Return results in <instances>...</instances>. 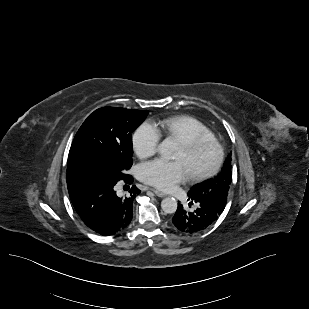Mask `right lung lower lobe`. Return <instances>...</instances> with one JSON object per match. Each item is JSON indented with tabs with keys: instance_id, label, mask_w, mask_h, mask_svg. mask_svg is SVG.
I'll return each instance as SVG.
<instances>
[{
	"instance_id": "1",
	"label": "right lung lower lobe",
	"mask_w": 309,
	"mask_h": 309,
	"mask_svg": "<svg viewBox=\"0 0 309 309\" xmlns=\"http://www.w3.org/2000/svg\"><path fill=\"white\" fill-rule=\"evenodd\" d=\"M122 179L133 181L127 174ZM118 181L83 167L67 168V187L75 210L89 228L103 236L116 234L130 224L134 199L141 192L133 186L128 196L119 197L114 190Z\"/></svg>"
}]
</instances>
